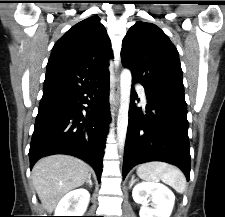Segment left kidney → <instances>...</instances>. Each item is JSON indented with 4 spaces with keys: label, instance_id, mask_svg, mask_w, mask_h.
<instances>
[{
    "label": "left kidney",
    "instance_id": "obj_1",
    "mask_svg": "<svg viewBox=\"0 0 225 217\" xmlns=\"http://www.w3.org/2000/svg\"><path fill=\"white\" fill-rule=\"evenodd\" d=\"M132 197L136 203L142 204L140 217H170L175 201V196L169 188L154 182L137 184L133 188Z\"/></svg>",
    "mask_w": 225,
    "mask_h": 217
}]
</instances>
